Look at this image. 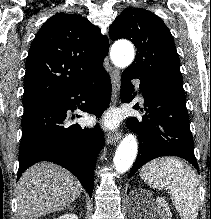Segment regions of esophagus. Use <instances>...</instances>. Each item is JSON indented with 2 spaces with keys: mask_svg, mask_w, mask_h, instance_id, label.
I'll list each match as a JSON object with an SVG mask.
<instances>
[{
  "mask_svg": "<svg viewBox=\"0 0 211 219\" xmlns=\"http://www.w3.org/2000/svg\"><path fill=\"white\" fill-rule=\"evenodd\" d=\"M110 77H111V83H112V105L116 106L118 92L120 88L119 71L117 69H112L110 73ZM121 136L122 134L120 131L112 132L108 134L106 141L108 144H116L120 140Z\"/></svg>",
  "mask_w": 211,
  "mask_h": 219,
  "instance_id": "obj_1",
  "label": "esophagus"
}]
</instances>
